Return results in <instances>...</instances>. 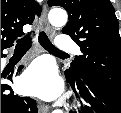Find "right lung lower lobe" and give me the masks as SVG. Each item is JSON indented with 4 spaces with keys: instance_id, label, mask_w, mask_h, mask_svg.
<instances>
[{
    "instance_id": "98d812e1",
    "label": "right lung lower lobe",
    "mask_w": 121,
    "mask_h": 113,
    "mask_svg": "<svg viewBox=\"0 0 121 113\" xmlns=\"http://www.w3.org/2000/svg\"><path fill=\"white\" fill-rule=\"evenodd\" d=\"M3 56L1 51V57ZM11 77L12 75L8 76V79L11 80ZM6 90H11V87L7 84H1V113H29L30 109L33 113L37 112L35 100L29 97H19L13 92L5 94Z\"/></svg>"
}]
</instances>
